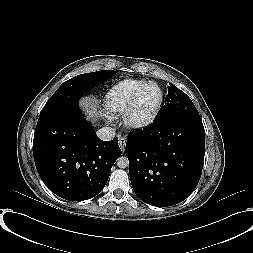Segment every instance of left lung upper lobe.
<instances>
[{
	"label": "left lung upper lobe",
	"instance_id": "1",
	"mask_svg": "<svg viewBox=\"0 0 253 253\" xmlns=\"http://www.w3.org/2000/svg\"><path fill=\"white\" fill-rule=\"evenodd\" d=\"M177 117H199L191 99L175 85L169 84L165 105L161 107L154 121L161 122Z\"/></svg>",
	"mask_w": 253,
	"mask_h": 253
}]
</instances>
